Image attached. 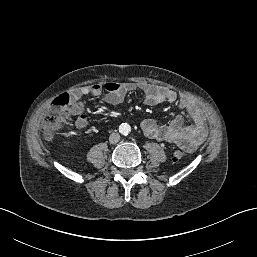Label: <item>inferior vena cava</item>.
I'll return each instance as SVG.
<instances>
[{"label":"inferior vena cava","instance_id":"602c4592","mask_svg":"<svg viewBox=\"0 0 257 257\" xmlns=\"http://www.w3.org/2000/svg\"><path fill=\"white\" fill-rule=\"evenodd\" d=\"M120 140V135L119 133H112L109 137V141L112 144H116Z\"/></svg>","mask_w":257,"mask_h":257}]
</instances>
